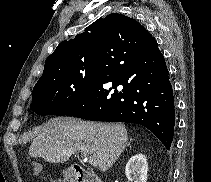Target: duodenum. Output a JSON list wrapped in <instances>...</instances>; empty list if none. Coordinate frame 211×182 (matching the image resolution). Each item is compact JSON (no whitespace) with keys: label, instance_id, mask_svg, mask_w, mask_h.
<instances>
[{"label":"duodenum","instance_id":"obj_1","mask_svg":"<svg viewBox=\"0 0 211 182\" xmlns=\"http://www.w3.org/2000/svg\"><path fill=\"white\" fill-rule=\"evenodd\" d=\"M73 182H102V180L93 172L79 167L72 169Z\"/></svg>","mask_w":211,"mask_h":182}]
</instances>
